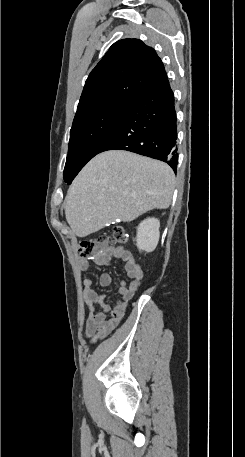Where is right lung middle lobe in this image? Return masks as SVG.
Masks as SVG:
<instances>
[{"label":"right lung middle lobe","mask_w":245,"mask_h":457,"mask_svg":"<svg viewBox=\"0 0 245 457\" xmlns=\"http://www.w3.org/2000/svg\"><path fill=\"white\" fill-rule=\"evenodd\" d=\"M130 107L113 103L96 111L75 115L63 174L67 184H71L82 167L100 152Z\"/></svg>","instance_id":"right-lung-middle-lobe-1"}]
</instances>
